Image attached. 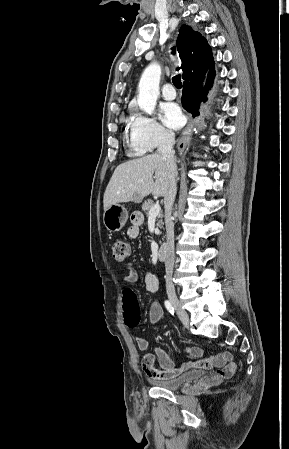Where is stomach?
Returning a JSON list of instances; mask_svg holds the SVG:
<instances>
[{
  "instance_id": "stomach-1",
  "label": "stomach",
  "mask_w": 289,
  "mask_h": 449,
  "mask_svg": "<svg viewBox=\"0 0 289 449\" xmlns=\"http://www.w3.org/2000/svg\"><path fill=\"white\" fill-rule=\"evenodd\" d=\"M128 219V211L121 204H113L104 211L103 223L110 232L120 231Z\"/></svg>"
}]
</instances>
